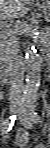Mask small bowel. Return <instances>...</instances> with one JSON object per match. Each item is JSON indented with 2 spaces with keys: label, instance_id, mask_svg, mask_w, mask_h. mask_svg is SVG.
<instances>
[{
  "label": "small bowel",
  "instance_id": "c3829d8e",
  "mask_svg": "<svg viewBox=\"0 0 50 148\" xmlns=\"http://www.w3.org/2000/svg\"><path fill=\"white\" fill-rule=\"evenodd\" d=\"M28 141V133L25 130H21L17 133L15 137V144L18 147H26ZM45 146L40 144L37 146V148H44Z\"/></svg>",
  "mask_w": 50,
  "mask_h": 148
}]
</instances>
